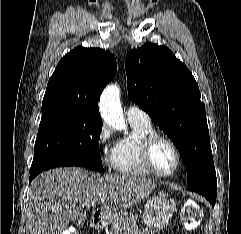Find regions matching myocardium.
Here are the masks:
<instances>
[{
    "label": "myocardium",
    "mask_w": 241,
    "mask_h": 234,
    "mask_svg": "<svg viewBox=\"0 0 241 234\" xmlns=\"http://www.w3.org/2000/svg\"><path fill=\"white\" fill-rule=\"evenodd\" d=\"M159 141H164V142L168 143L172 147V149L174 150L175 155H176L175 167L172 171H170L168 173L161 172L160 170H158L153 161V149H154V146L156 145V143ZM141 158H142V161H143V164L145 165V167L152 174H154L158 177H163V178L173 176L178 171V169L181 165V152H180V149H179L178 145L176 144V142L169 136L160 134L157 132L151 133L144 138L142 145H141Z\"/></svg>",
    "instance_id": "1"
}]
</instances>
